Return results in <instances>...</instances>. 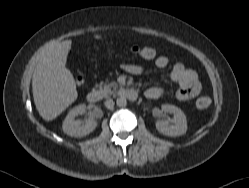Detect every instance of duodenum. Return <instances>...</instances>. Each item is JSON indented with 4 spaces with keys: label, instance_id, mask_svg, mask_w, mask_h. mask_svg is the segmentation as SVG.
Segmentation results:
<instances>
[{
    "label": "duodenum",
    "instance_id": "1",
    "mask_svg": "<svg viewBox=\"0 0 249 188\" xmlns=\"http://www.w3.org/2000/svg\"><path fill=\"white\" fill-rule=\"evenodd\" d=\"M121 95L129 100H134L137 98V91L134 89H124L121 92ZM100 99V94L97 90H92L87 94V100L91 104H95L99 101Z\"/></svg>",
    "mask_w": 249,
    "mask_h": 188
}]
</instances>
